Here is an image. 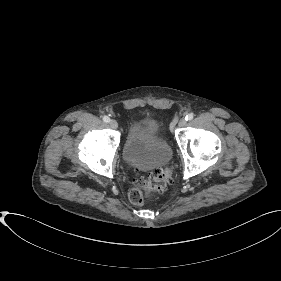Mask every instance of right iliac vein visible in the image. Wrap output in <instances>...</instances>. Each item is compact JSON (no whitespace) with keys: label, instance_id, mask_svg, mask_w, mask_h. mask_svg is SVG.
<instances>
[{"label":"right iliac vein","instance_id":"63e3f726","mask_svg":"<svg viewBox=\"0 0 281 281\" xmlns=\"http://www.w3.org/2000/svg\"><path fill=\"white\" fill-rule=\"evenodd\" d=\"M109 125L112 129L118 128V123L115 120H110Z\"/></svg>","mask_w":281,"mask_h":281}]
</instances>
